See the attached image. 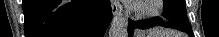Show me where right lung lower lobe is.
I'll list each match as a JSON object with an SVG mask.
<instances>
[{
  "label": "right lung lower lobe",
  "instance_id": "right-lung-lower-lobe-1",
  "mask_svg": "<svg viewBox=\"0 0 219 37\" xmlns=\"http://www.w3.org/2000/svg\"><path fill=\"white\" fill-rule=\"evenodd\" d=\"M25 37H103L109 0H23Z\"/></svg>",
  "mask_w": 219,
  "mask_h": 37
}]
</instances>
